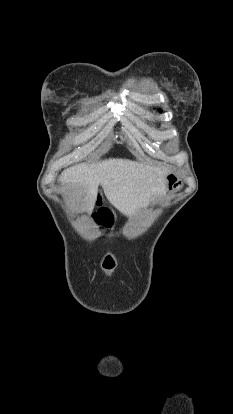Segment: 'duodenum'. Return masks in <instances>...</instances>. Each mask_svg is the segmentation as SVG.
I'll use <instances>...</instances> for the list:
<instances>
[{"label":"duodenum","instance_id":"1","mask_svg":"<svg viewBox=\"0 0 233 414\" xmlns=\"http://www.w3.org/2000/svg\"><path fill=\"white\" fill-rule=\"evenodd\" d=\"M98 206L100 207L101 210H106L107 209V206L105 205L104 200H99L98 201Z\"/></svg>","mask_w":233,"mask_h":414}]
</instances>
